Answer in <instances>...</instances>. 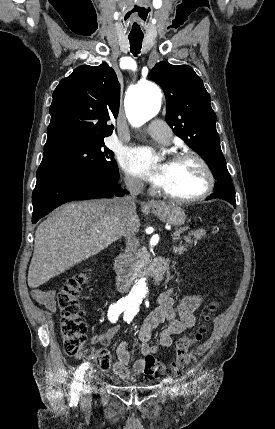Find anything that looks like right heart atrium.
<instances>
[{
  "mask_svg": "<svg viewBox=\"0 0 275 429\" xmlns=\"http://www.w3.org/2000/svg\"><path fill=\"white\" fill-rule=\"evenodd\" d=\"M125 183L127 185L128 188L132 189V190H139L142 187V183L139 179L126 174L125 175Z\"/></svg>",
  "mask_w": 275,
  "mask_h": 429,
  "instance_id": "d8ad5b80",
  "label": "right heart atrium"
}]
</instances>
